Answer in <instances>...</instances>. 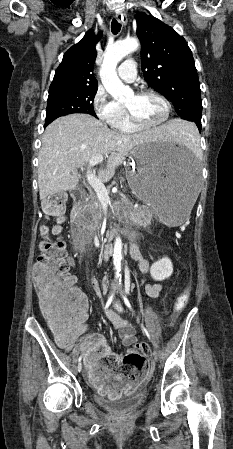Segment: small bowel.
Listing matches in <instances>:
<instances>
[{
    "instance_id": "obj_1",
    "label": "small bowel",
    "mask_w": 233,
    "mask_h": 449,
    "mask_svg": "<svg viewBox=\"0 0 233 449\" xmlns=\"http://www.w3.org/2000/svg\"><path fill=\"white\" fill-rule=\"evenodd\" d=\"M52 232L58 234L61 232L59 226H54ZM71 265L76 262L69 260ZM139 268L143 273H147L149 264L144 259H139ZM91 290L95 295H100V284L97 280H91ZM162 290L160 283L148 284L145 287L146 295L155 299L158 298ZM86 316V315H85ZM113 326L118 330L119 337L124 346H133L137 343L135 328L118 316L112 317ZM56 331V330H55ZM82 331H56V340L59 346L70 350L75 341L79 338ZM82 355L85 366L88 371V378L91 384L98 388L100 399H125L131 390H138L139 384L145 383L147 370L138 368L136 375H113V370L108 364H102V359L106 357L113 358L117 363L120 356L115 353L107 340L101 334H92L88 336L82 344Z\"/></svg>"
}]
</instances>
